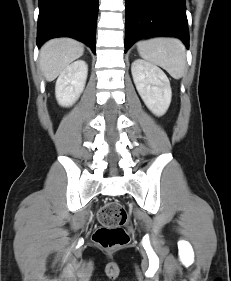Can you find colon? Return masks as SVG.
<instances>
[{
	"instance_id": "obj_1",
	"label": "colon",
	"mask_w": 231,
	"mask_h": 281,
	"mask_svg": "<svg viewBox=\"0 0 231 281\" xmlns=\"http://www.w3.org/2000/svg\"><path fill=\"white\" fill-rule=\"evenodd\" d=\"M127 219L125 208L118 202L105 204L99 212L101 226L95 231L93 240L105 249L123 247L129 241L122 225Z\"/></svg>"
}]
</instances>
